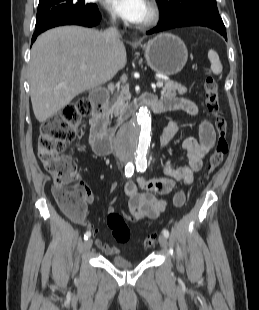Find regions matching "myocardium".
<instances>
[{
  "mask_svg": "<svg viewBox=\"0 0 259 310\" xmlns=\"http://www.w3.org/2000/svg\"><path fill=\"white\" fill-rule=\"evenodd\" d=\"M146 4L150 10V15L146 21L137 24V27L142 30L155 27L160 22L162 16L161 7L155 0H147Z\"/></svg>",
  "mask_w": 259,
  "mask_h": 310,
  "instance_id": "1",
  "label": "myocardium"
}]
</instances>
